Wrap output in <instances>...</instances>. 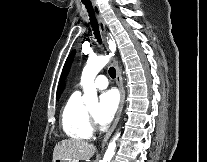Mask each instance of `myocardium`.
<instances>
[{"mask_svg":"<svg viewBox=\"0 0 207 162\" xmlns=\"http://www.w3.org/2000/svg\"><path fill=\"white\" fill-rule=\"evenodd\" d=\"M93 116H94V115H93L90 111H88V117H89L90 120H91V119L93 120Z\"/></svg>","mask_w":207,"mask_h":162,"instance_id":"myocardium-1","label":"myocardium"}]
</instances>
